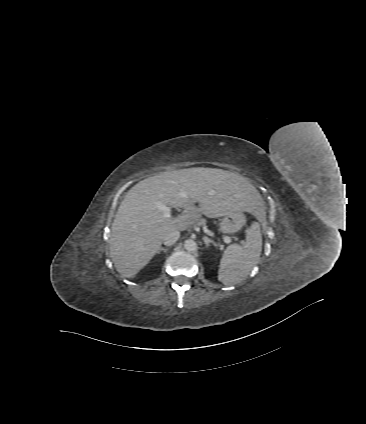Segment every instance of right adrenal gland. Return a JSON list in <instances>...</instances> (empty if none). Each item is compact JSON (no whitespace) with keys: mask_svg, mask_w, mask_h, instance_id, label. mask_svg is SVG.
<instances>
[{"mask_svg":"<svg viewBox=\"0 0 366 424\" xmlns=\"http://www.w3.org/2000/svg\"><path fill=\"white\" fill-rule=\"evenodd\" d=\"M161 251L167 252L168 248L160 247L159 250L157 251V254H159Z\"/></svg>","mask_w":366,"mask_h":424,"instance_id":"obj_1","label":"right adrenal gland"}]
</instances>
